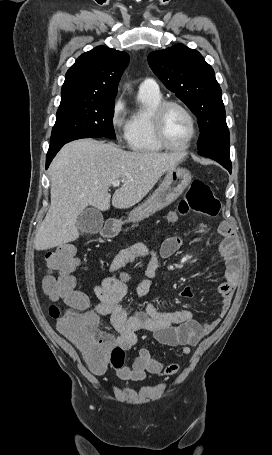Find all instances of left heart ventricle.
Returning a JSON list of instances; mask_svg holds the SVG:
<instances>
[{
  "instance_id": "left-heart-ventricle-1",
  "label": "left heart ventricle",
  "mask_w": 272,
  "mask_h": 455,
  "mask_svg": "<svg viewBox=\"0 0 272 455\" xmlns=\"http://www.w3.org/2000/svg\"><path fill=\"white\" fill-rule=\"evenodd\" d=\"M164 130L171 144L183 145L191 135V124L182 110L171 107L167 110L164 117Z\"/></svg>"
}]
</instances>
